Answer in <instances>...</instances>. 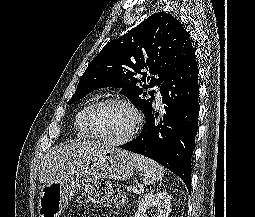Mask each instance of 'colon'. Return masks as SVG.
<instances>
[{"label":"colon","instance_id":"5ec220e1","mask_svg":"<svg viewBox=\"0 0 255 217\" xmlns=\"http://www.w3.org/2000/svg\"><path fill=\"white\" fill-rule=\"evenodd\" d=\"M81 203L107 204L113 208L122 207L126 203L123 188L100 181L84 190L78 197Z\"/></svg>","mask_w":255,"mask_h":217}]
</instances>
